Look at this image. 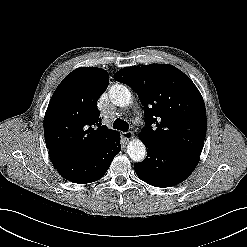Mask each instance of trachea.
Here are the masks:
<instances>
[{
	"mask_svg": "<svg viewBox=\"0 0 247 247\" xmlns=\"http://www.w3.org/2000/svg\"><path fill=\"white\" fill-rule=\"evenodd\" d=\"M113 128L117 130H121L123 132H127L129 129V124L126 121L117 118L113 123Z\"/></svg>",
	"mask_w": 247,
	"mask_h": 247,
	"instance_id": "obj_1",
	"label": "trachea"
}]
</instances>
